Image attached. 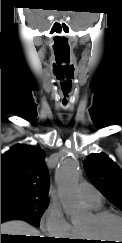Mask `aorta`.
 I'll list each match as a JSON object with an SVG mask.
<instances>
[{
  "instance_id": "obj_1",
  "label": "aorta",
  "mask_w": 122,
  "mask_h": 243,
  "mask_svg": "<svg viewBox=\"0 0 122 243\" xmlns=\"http://www.w3.org/2000/svg\"><path fill=\"white\" fill-rule=\"evenodd\" d=\"M79 163L76 158L64 155L55 171L58 194L66 215L74 221L83 209L77 193L79 181Z\"/></svg>"
}]
</instances>
